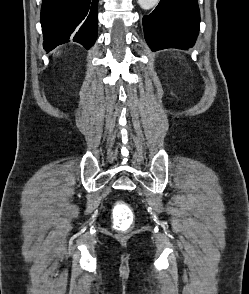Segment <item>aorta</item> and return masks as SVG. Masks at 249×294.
<instances>
[{
  "label": "aorta",
  "instance_id": "1",
  "mask_svg": "<svg viewBox=\"0 0 249 294\" xmlns=\"http://www.w3.org/2000/svg\"><path fill=\"white\" fill-rule=\"evenodd\" d=\"M140 7L144 10H149L158 4L159 0H137Z\"/></svg>",
  "mask_w": 249,
  "mask_h": 294
}]
</instances>
